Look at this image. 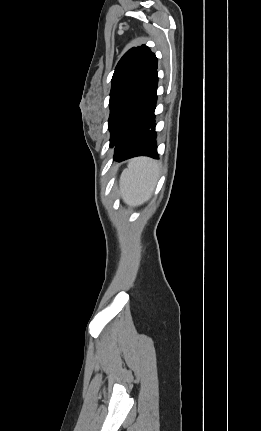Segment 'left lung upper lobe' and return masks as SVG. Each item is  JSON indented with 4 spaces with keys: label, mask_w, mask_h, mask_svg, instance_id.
Instances as JSON below:
<instances>
[{
    "label": "left lung upper lobe",
    "mask_w": 261,
    "mask_h": 431,
    "mask_svg": "<svg viewBox=\"0 0 261 431\" xmlns=\"http://www.w3.org/2000/svg\"><path fill=\"white\" fill-rule=\"evenodd\" d=\"M157 69V58L145 46L133 47L118 62L110 92V146L113 147L122 118L144 83Z\"/></svg>",
    "instance_id": "left-lung-upper-lobe-1"
}]
</instances>
